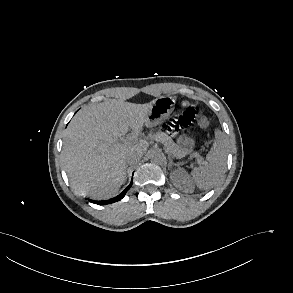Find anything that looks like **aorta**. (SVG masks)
Masks as SVG:
<instances>
[{
    "label": "aorta",
    "mask_w": 293,
    "mask_h": 293,
    "mask_svg": "<svg viewBox=\"0 0 293 293\" xmlns=\"http://www.w3.org/2000/svg\"><path fill=\"white\" fill-rule=\"evenodd\" d=\"M150 160L153 163L160 164L165 160V156L161 153L154 152L151 154Z\"/></svg>",
    "instance_id": "762f6f07"
}]
</instances>
